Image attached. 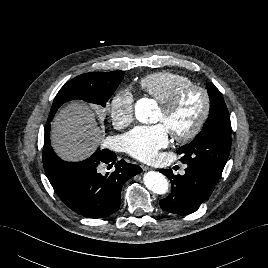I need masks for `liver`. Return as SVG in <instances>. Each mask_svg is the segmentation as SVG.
I'll return each instance as SVG.
<instances>
[{"label":"liver","mask_w":268,"mask_h":268,"mask_svg":"<svg viewBox=\"0 0 268 268\" xmlns=\"http://www.w3.org/2000/svg\"><path fill=\"white\" fill-rule=\"evenodd\" d=\"M103 137L95 113L82 102L66 105L52 122V147L68 161H80L92 155Z\"/></svg>","instance_id":"obj_1"}]
</instances>
